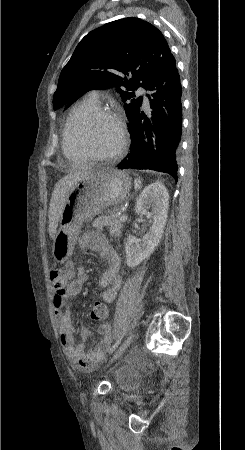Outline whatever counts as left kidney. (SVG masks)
<instances>
[{
	"label": "left kidney",
	"mask_w": 245,
	"mask_h": 450,
	"mask_svg": "<svg viewBox=\"0 0 245 450\" xmlns=\"http://www.w3.org/2000/svg\"><path fill=\"white\" fill-rule=\"evenodd\" d=\"M169 194L161 182L148 185L137 200L135 212L146 215L153 219L152 227L139 241L134 236L129 235L126 246V263L133 268L139 265L144 259L150 257L158 246L163 230L167 222L169 208ZM151 207V212L149 208Z\"/></svg>",
	"instance_id": "obj_1"
}]
</instances>
